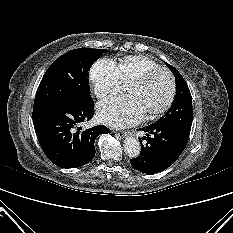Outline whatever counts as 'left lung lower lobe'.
I'll list each match as a JSON object with an SVG mask.
<instances>
[{
    "label": "left lung lower lobe",
    "mask_w": 233,
    "mask_h": 233,
    "mask_svg": "<svg viewBox=\"0 0 233 233\" xmlns=\"http://www.w3.org/2000/svg\"><path fill=\"white\" fill-rule=\"evenodd\" d=\"M145 131L146 145L141 141V153L130 159L132 166L143 173L161 172L171 166L187 145L189 135L177 130L172 125L155 122L141 128Z\"/></svg>",
    "instance_id": "obj_1"
}]
</instances>
